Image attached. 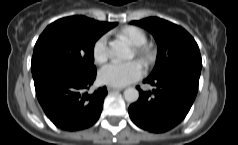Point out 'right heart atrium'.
I'll use <instances>...</instances> for the list:
<instances>
[{
    "label": "right heart atrium",
    "mask_w": 238,
    "mask_h": 145,
    "mask_svg": "<svg viewBox=\"0 0 238 145\" xmlns=\"http://www.w3.org/2000/svg\"><path fill=\"white\" fill-rule=\"evenodd\" d=\"M92 56L96 63H104L109 57L107 36L103 35L95 40L92 46Z\"/></svg>",
    "instance_id": "right-heart-atrium-1"
}]
</instances>
